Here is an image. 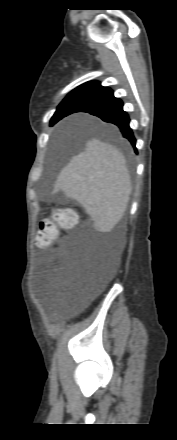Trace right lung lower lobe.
Listing matches in <instances>:
<instances>
[{"label": "right lung lower lobe", "instance_id": "1", "mask_svg": "<svg viewBox=\"0 0 177 440\" xmlns=\"http://www.w3.org/2000/svg\"><path fill=\"white\" fill-rule=\"evenodd\" d=\"M78 112H88L101 118L103 121L115 124L121 131L123 137L127 138L135 147L136 139L129 126V116L123 110V103L113 95L103 100L94 102Z\"/></svg>", "mask_w": 177, "mask_h": 440}]
</instances>
